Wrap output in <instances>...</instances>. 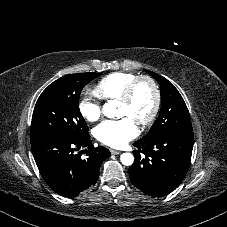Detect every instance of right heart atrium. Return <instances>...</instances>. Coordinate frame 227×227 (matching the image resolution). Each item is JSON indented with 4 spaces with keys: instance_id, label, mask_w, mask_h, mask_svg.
Here are the masks:
<instances>
[{
    "instance_id": "right-heart-atrium-1",
    "label": "right heart atrium",
    "mask_w": 227,
    "mask_h": 227,
    "mask_svg": "<svg viewBox=\"0 0 227 227\" xmlns=\"http://www.w3.org/2000/svg\"><path fill=\"white\" fill-rule=\"evenodd\" d=\"M78 109L81 116L89 122L98 120L102 114L101 101L94 93L84 94L79 100Z\"/></svg>"
}]
</instances>
